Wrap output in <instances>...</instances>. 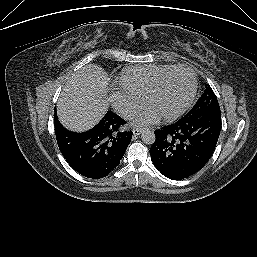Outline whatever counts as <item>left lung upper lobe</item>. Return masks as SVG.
<instances>
[{
    "label": "left lung upper lobe",
    "instance_id": "5c2ea615",
    "mask_svg": "<svg viewBox=\"0 0 257 257\" xmlns=\"http://www.w3.org/2000/svg\"><path fill=\"white\" fill-rule=\"evenodd\" d=\"M210 114L221 115V111L213 90L209 85H206L201 97L184 117L195 119Z\"/></svg>",
    "mask_w": 257,
    "mask_h": 257
}]
</instances>
